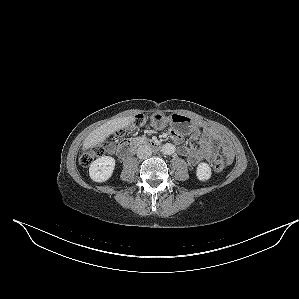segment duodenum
<instances>
[{
    "label": "duodenum",
    "mask_w": 299,
    "mask_h": 299,
    "mask_svg": "<svg viewBox=\"0 0 299 299\" xmlns=\"http://www.w3.org/2000/svg\"><path fill=\"white\" fill-rule=\"evenodd\" d=\"M139 146H147L156 150L161 147V144L154 140H129L119 145L118 153L121 157H127Z\"/></svg>",
    "instance_id": "obj_1"
}]
</instances>
